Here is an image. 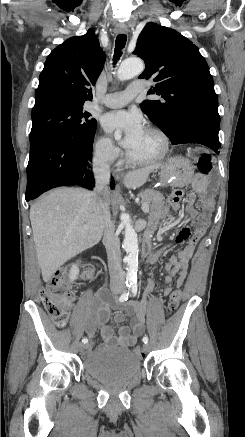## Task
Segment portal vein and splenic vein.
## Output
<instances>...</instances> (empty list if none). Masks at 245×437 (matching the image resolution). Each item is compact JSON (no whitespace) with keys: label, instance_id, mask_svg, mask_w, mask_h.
I'll return each mask as SVG.
<instances>
[{"label":"portal vein and splenic vein","instance_id":"18ae733b","mask_svg":"<svg viewBox=\"0 0 245 437\" xmlns=\"http://www.w3.org/2000/svg\"><path fill=\"white\" fill-rule=\"evenodd\" d=\"M139 201V198L136 199V202ZM142 210L144 213H148L149 212V206L146 204H142Z\"/></svg>","mask_w":245,"mask_h":437}]
</instances>
